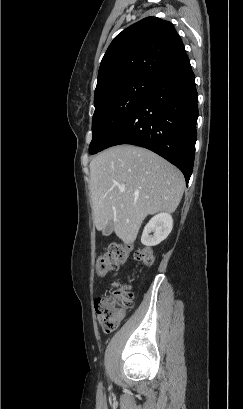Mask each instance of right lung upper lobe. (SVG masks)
<instances>
[{
	"instance_id": "cb5924a9",
	"label": "right lung upper lobe",
	"mask_w": 243,
	"mask_h": 409,
	"mask_svg": "<svg viewBox=\"0 0 243 409\" xmlns=\"http://www.w3.org/2000/svg\"><path fill=\"white\" fill-rule=\"evenodd\" d=\"M186 55L172 23L147 17L119 33L98 72L94 101L113 86L134 78L158 80Z\"/></svg>"
}]
</instances>
